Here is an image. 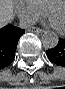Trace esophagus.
<instances>
[{"mask_svg": "<svg viewBox=\"0 0 65 89\" xmlns=\"http://www.w3.org/2000/svg\"><path fill=\"white\" fill-rule=\"evenodd\" d=\"M28 31L37 32V33H43L44 32V30H42L40 28H36V27H31L28 29Z\"/></svg>", "mask_w": 65, "mask_h": 89, "instance_id": "1", "label": "esophagus"}]
</instances>
